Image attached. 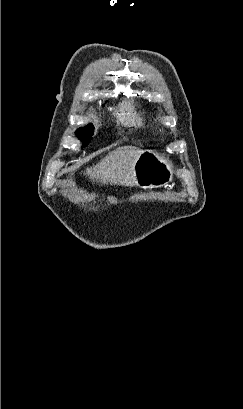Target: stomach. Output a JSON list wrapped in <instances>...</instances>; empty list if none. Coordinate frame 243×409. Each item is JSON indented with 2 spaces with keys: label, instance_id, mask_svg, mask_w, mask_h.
Wrapping results in <instances>:
<instances>
[{
  "label": "stomach",
  "instance_id": "obj_1",
  "mask_svg": "<svg viewBox=\"0 0 243 409\" xmlns=\"http://www.w3.org/2000/svg\"><path fill=\"white\" fill-rule=\"evenodd\" d=\"M135 183L143 189L159 188L172 180V165L153 151H142L134 165Z\"/></svg>",
  "mask_w": 243,
  "mask_h": 409
}]
</instances>
